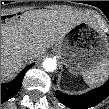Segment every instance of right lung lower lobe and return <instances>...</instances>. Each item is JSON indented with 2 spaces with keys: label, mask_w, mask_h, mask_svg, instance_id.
I'll list each match as a JSON object with an SVG mask.
<instances>
[{
  "label": "right lung lower lobe",
  "mask_w": 109,
  "mask_h": 109,
  "mask_svg": "<svg viewBox=\"0 0 109 109\" xmlns=\"http://www.w3.org/2000/svg\"><path fill=\"white\" fill-rule=\"evenodd\" d=\"M33 65L34 64H31L24 68L12 82L1 84V103L12 98L19 92L22 86V80L24 78L25 72Z\"/></svg>",
  "instance_id": "right-lung-lower-lobe-1"
}]
</instances>
